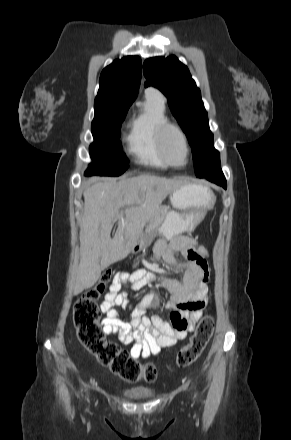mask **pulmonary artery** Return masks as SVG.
<instances>
[{"label": "pulmonary artery", "mask_w": 291, "mask_h": 440, "mask_svg": "<svg viewBox=\"0 0 291 440\" xmlns=\"http://www.w3.org/2000/svg\"><path fill=\"white\" fill-rule=\"evenodd\" d=\"M146 92H153V93L157 94L161 99L165 100L164 95L160 91H158V90H156L154 88H148L146 90Z\"/></svg>", "instance_id": "obj_1"}]
</instances>
